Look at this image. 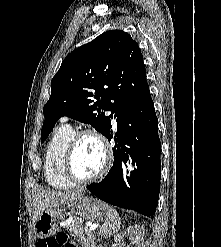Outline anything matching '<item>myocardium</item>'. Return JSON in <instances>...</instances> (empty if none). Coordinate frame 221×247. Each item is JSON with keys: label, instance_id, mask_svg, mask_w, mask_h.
Wrapping results in <instances>:
<instances>
[{"label": "myocardium", "instance_id": "1", "mask_svg": "<svg viewBox=\"0 0 221 247\" xmlns=\"http://www.w3.org/2000/svg\"><path fill=\"white\" fill-rule=\"evenodd\" d=\"M87 136L92 137L99 142L104 154V163L101 170L94 176L87 178H80L76 175L74 171L73 159L79 141L83 137H87ZM112 163H113V150L106 137L95 129H82L73 134V137L71 138L67 146L64 156L63 168L66 177L71 182L76 184H88L102 179L110 170Z\"/></svg>", "mask_w": 221, "mask_h": 247}]
</instances>
